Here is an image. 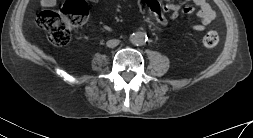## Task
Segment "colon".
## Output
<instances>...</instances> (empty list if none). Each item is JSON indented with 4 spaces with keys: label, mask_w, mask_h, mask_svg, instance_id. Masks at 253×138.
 Masks as SVG:
<instances>
[{
    "label": "colon",
    "mask_w": 253,
    "mask_h": 138,
    "mask_svg": "<svg viewBox=\"0 0 253 138\" xmlns=\"http://www.w3.org/2000/svg\"><path fill=\"white\" fill-rule=\"evenodd\" d=\"M88 15L84 0H67L59 11L44 10L37 17L38 25L48 32L50 42L55 46H65L71 39L72 29L82 25ZM219 42L218 34L207 32L202 38L203 46L215 47Z\"/></svg>",
    "instance_id": "colon-1"
}]
</instances>
